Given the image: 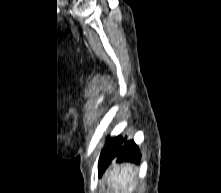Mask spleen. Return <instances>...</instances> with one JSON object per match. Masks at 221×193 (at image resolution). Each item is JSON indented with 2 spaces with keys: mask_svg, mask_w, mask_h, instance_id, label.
<instances>
[{
  "mask_svg": "<svg viewBox=\"0 0 221 193\" xmlns=\"http://www.w3.org/2000/svg\"><path fill=\"white\" fill-rule=\"evenodd\" d=\"M135 184V175L131 165L113 166L108 176V186L115 190V193H132Z\"/></svg>",
  "mask_w": 221,
  "mask_h": 193,
  "instance_id": "3e777b00",
  "label": "spleen"
}]
</instances>
